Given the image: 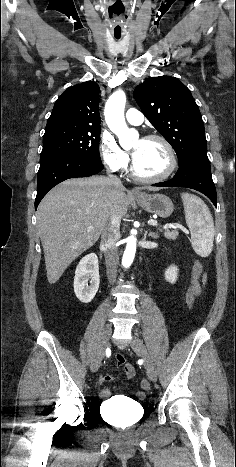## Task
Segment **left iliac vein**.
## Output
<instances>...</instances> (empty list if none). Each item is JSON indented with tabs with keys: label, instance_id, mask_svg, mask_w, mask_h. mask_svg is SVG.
<instances>
[{
	"label": "left iliac vein",
	"instance_id": "4c4485c4",
	"mask_svg": "<svg viewBox=\"0 0 236 467\" xmlns=\"http://www.w3.org/2000/svg\"><path fill=\"white\" fill-rule=\"evenodd\" d=\"M131 347L137 354H139L143 358L148 369V377L151 381L155 382L157 380V370L151 360V357L143 341L138 336L134 335L131 340Z\"/></svg>",
	"mask_w": 236,
	"mask_h": 467
}]
</instances>
